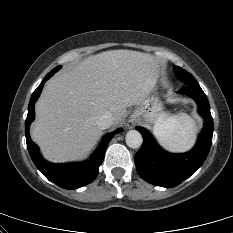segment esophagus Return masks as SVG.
Here are the masks:
<instances>
[{"label":"esophagus","instance_id":"1","mask_svg":"<svg viewBox=\"0 0 233 233\" xmlns=\"http://www.w3.org/2000/svg\"><path fill=\"white\" fill-rule=\"evenodd\" d=\"M128 126L132 128L134 126V121L130 120Z\"/></svg>","mask_w":233,"mask_h":233}]
</instances>
